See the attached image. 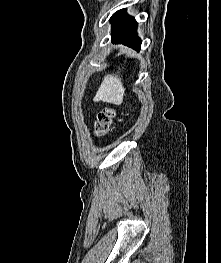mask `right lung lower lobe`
<instances>
[{
	"mask_svg": "<svg viewBox=\"0 0 221 263\" xmlns=\"http://www.w3.org/2000/svg\"><path fill=\"white\" fill-rule=\"evenodd\" d=\"M112 23V41L123 43L133 49L140 50L141 40L137 36V22L126 14L125 9L114 13L110 19Z\"/></svg>",
	"mask_w": 221,
	"mask_h": 263,
	"instance_id": "98d812e1",
	"label": "right lung lower lobe"
}]
</instances>
